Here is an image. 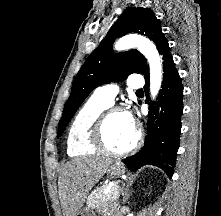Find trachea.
Listing matches in <instances>:
<instances>
[{"mask_svg": "<svg viewBox=\"0 0 221 216\" xmlns=\"http://www.w3.org/2000/svg\"><path fill=\"white\" fill-rule=\"evenodd\" d=\"M136 93H143V90L142 89L137 90Z\"/></svg>", "mask_w": 221, "mask_h": 216, "instance_id": "1", "label": "trachea"}]
</instances>
